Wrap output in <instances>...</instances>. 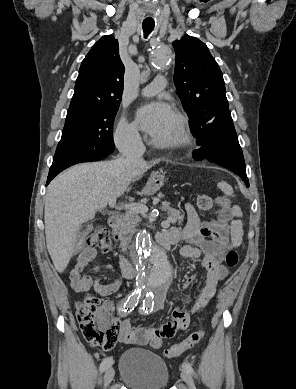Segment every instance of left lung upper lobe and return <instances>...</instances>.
Wrapping results in <instances>:
<instances>
[{
  "label": "left lung upper lobe",
  "instance_id": "1",
  "mask_svg": "<svg viewBox=\"0 0 296 389\" xmlns=\"http://www.w3.org/2000/svg\"><path fill=\"white\" fill-rule=\"evenodd\" d=\"M176 53L175 86L190 129L197 138L204 125L229 111L222 72L208 47L195 37L183 36L173 42Z\"/></svg>",
  "mask_w": 296,
  "mask_h": 389
}]
</instances>
